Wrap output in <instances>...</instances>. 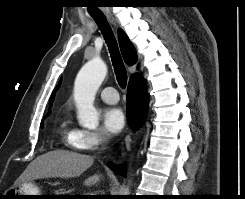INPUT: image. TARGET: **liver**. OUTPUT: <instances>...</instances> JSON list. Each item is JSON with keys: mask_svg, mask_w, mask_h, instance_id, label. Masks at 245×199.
<instances>
[{"mask_svg": "<svg viewBox=\"0 0 245 199\" xmlns=\"http://www.w3.org/2000/svg\"><path fill=\"white\" fill-rule=\"evenodd\" d=\"M93 157L67 150H53L38 156L28 166L22 182L41 178H73L80 176L93 164ZM101 175L94 174L84 181L85 186L100 182Z\"/></svg>", "mask_w": 245, "mask_h": 199, "instance_id": "6515ba94", "label": "liver"}]
</instances>
